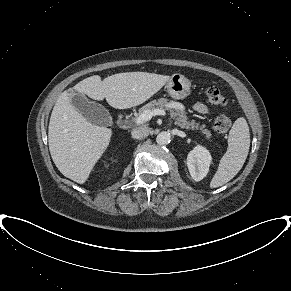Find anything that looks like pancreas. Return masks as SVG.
Returning <instances> with one entry per match:
<instances>
[{"instance_id":"obj_1","label":"pancreas","mask_w":291,"mask_h":291,"mask_svg":"<svg viewBox=\"0 0 291 291\" xmlns=\"http://www.w3.org/2000/svg\"><path fill=\"white\" fill-rule=\"evenodd\" d=\"M154 109L170 110L171 116L175 119V124L179 127L183 129L200 130L201 134L206 138H210L211 136L210 131L205 128V124L200 125L195 120L189 121L184 107L175 101H169L165 98L153 100L139 109V115L146 110L152 111Z\"/></svg>"}]
</instances>
